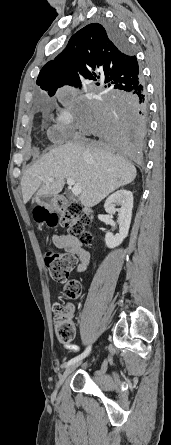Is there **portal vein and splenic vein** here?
<instances>
[{
  "instance_id": "18ae733b",
  "label": "portal vein and splenic vein",
  "mask_w": 171,
  "mask_h": 445,
  "mask_svg": "<svg viewBox=\"0 0 171 445\" xmlns=\"http://www.w3.org/2000/svg\"><path fill=\"white\" fill-rule=\"evenodd\" d=\"M47 181H52V178H47ZM67 184L72 187V193L75 196H78L81 194V188L78 184L75 183L73 178L67 179Z\"/></svg>"
}]
</instances>
